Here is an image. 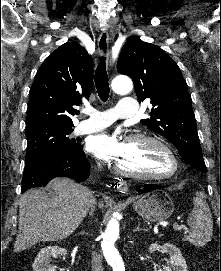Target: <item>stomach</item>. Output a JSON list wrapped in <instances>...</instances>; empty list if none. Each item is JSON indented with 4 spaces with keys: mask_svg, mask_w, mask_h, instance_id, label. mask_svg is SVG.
I'll list each match as a JSON object with an SVG mask.
<instances>
[{
    "mask_svg": "<svg viewBox=\"0 0 221 271\" xmlns=\"http://www.w3.org/2000/svg\"><path fill=\"white\" fill-rule=\"evenodd\" d=\"M133 207L139 215L148 221H164L174 211V203L164 189H153L133 201Z\"/></svg>",
    "mask_w": 221,
    "mask_h": 271,
    "instance_id": "obj_1",
    "label": "stomach"
}]
</instances>
